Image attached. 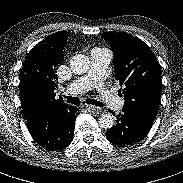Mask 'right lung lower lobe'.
<instances>
[{"label": "right lung lower lobe", "instance_id": "obj_1", "mask_svg": "<svg viewBox=\"0 0 183 183\" xmlns=\"http://www.w3.org/2000/svg\"><path fill=\"white\" fill-rule=\"evenodd\" d=\"M76 107L40 108L27 118V127L34 141L51 151L62 150L73 140Z\"/></svg>", "mask_w": 183, "mask_h": 183}]
</instances>
